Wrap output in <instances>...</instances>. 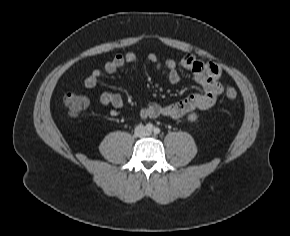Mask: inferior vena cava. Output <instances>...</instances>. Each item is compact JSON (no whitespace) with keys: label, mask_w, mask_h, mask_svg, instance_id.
<instances>
[{"label":"inferior vena cava","mask_w":290,"mask_h":236,"mask_svg":"<svg viewBox=\"0 0 290 236\" xmlns=\"http://www.w3.org/2000/svg\"><path fill=\"white\" fill-rule=\"evenodd\" d=\"M135 134L141 137V136H146L148 133L146 129L144 128V126L140 125L135 129Z\"/></svg>","instance_id":"1"}]
</instances>
